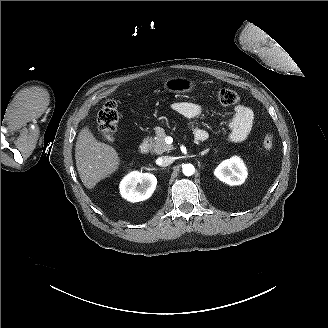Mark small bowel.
Returning <instances> with one entry per match:
<instances>
[{
    "label": "small bowel",
    "instance_id": "obj_1",
    "mask_svg": "<svg viewBox=\"0 0 328 328\" xmlns=\"http://www.w3.org/2000/svg\"><path fill=\"white\" fill-rule=\"evenodd\" d=\"M172 110L186 118H195L202 114L200 105L192 102H176L171 105ZM254 123V112L245 104H237L233 108L232 116L228 122L230 140L234 143L243 142L250 134ZM195 136L205 135L201 128H195Z\"/></svg>",
    "mask_w": 328,
    "mask_h": 328
}]
</instances>
